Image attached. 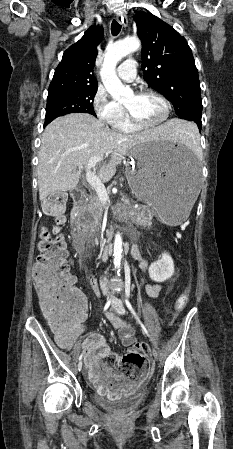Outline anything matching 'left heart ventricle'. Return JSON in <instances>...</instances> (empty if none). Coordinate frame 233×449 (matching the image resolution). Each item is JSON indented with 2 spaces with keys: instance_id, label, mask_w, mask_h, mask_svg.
<instances>
[{
  "instance_id": "1",
  "label": "left heart ventricle",
  "mask_w": 233,
  "mask_h": 449,
  "mask_svg": "<svg viewBox=\"0 0 233 449\" xmlns=\"http://www.w3.org/2000/svg\"><path fill=\"white\" fill-rule=\"evenodd\" d=\"M133 114L142 122L154 123L164 114L163 103L154 96L136 94L130 95L124 103Z\"/></svg>"
}]
</instances>
